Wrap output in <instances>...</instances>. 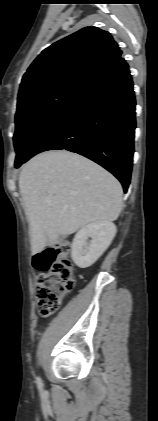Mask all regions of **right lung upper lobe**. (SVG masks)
<instances>
[{
  "mask_svg": "<svg viewBox=\"0 0 158 421\" xmlns=\"http://www.w3.org/2000/svg\"><path fill=\"white\" fill-rule=\"evenodd\" d=\"M121 54L109 32L85 27L41 52L22 78L18 100L59 84L84 85Z\"/></svg>",
  "mask_w": 158,
  "mask_h": 421,
  "instance_id": "1",
  "label": "right lung upper lobe"
}]
</instances>
